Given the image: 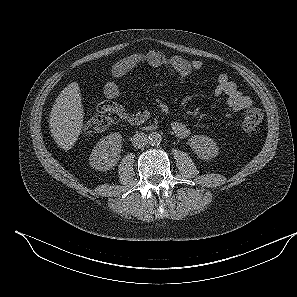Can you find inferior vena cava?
<instances>
[{
	"label": "inferior vena cava",
	"mask_w": 297,
	"mask_h": 297,
	"mask_svg": "<svg viewBox=\"0 0 297 297\" xmlns=\"http://www.w3.org/2000/svg\"><path fill=\"white\" fill-rule=\"evenodd\" d=\"M149 140L144 133H136L132 138V144L136 148H143L148 144Z\"/></svg>",
	"instance_id": "1"
}]
</instances>
